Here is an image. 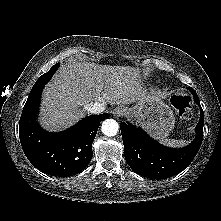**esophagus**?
Returning <instances> with one entry per match:
<instances>
[{"label":"esophagus","instance_id":"esophagus-1","mask_svg":"<svg viewBox=\"0 0 221 221\" xmlns=\"http://www.w3.org/2000/svg\"><path fill=\"white\" fill-rule=\"evenodd\" d=\"M113 114L115 117H122L127 114V111H126V109H124L122 107H118L114 110Z\"/></svg>","mask_w":221,"mask_h":221}]
</instances>
